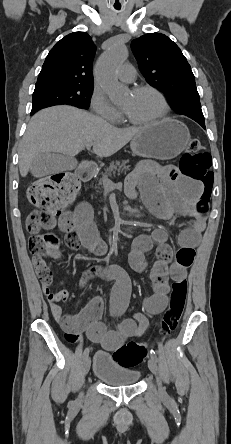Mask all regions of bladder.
I'll list each match as a JSON object with an SVG mask.
<instances>
[{"label":"bladder","instance_id":"1","mask_svg":"<svg viewBox=\"0 0 231 444\" xmlns=\"http://www.w3.org/2000/svg\"><path fill=\"white\" fill-rule=\"evenodd\" d=\"M119 363L112 354L99 351L94 356L92 373L109 386H130L137 383L141 372Z\"/></svg>","mask_w":231,"mask_h":444}]
</instances>
